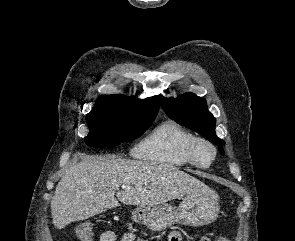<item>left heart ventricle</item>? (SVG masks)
<instances>
[{
	"label": "left heart ventricle",
	"mask_w": 295,
	"mask_h": 241,
	"mask_svg": "<svg viewBox=\"0 0 295 241\" xmlns=\"http://www.w3.org/2000/svg\"><path fill=\"white\" fill-rule=\"evenodd\" d=\"M198 159L200 162L206 164L211 159V152L206 146H201L198 150Z\"/></svg>",
	"instance_id": "b2bd125f"
}]
</instances>
